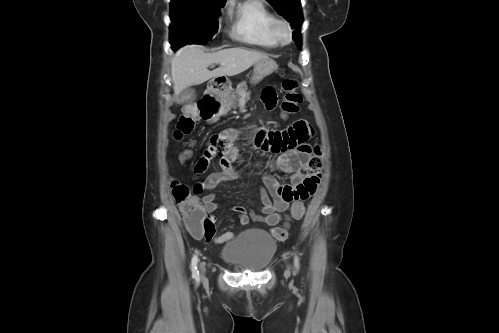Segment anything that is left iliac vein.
Instances as JSON below:
<instances>
[{
	"label": "left iliac vein",
	"mask_w": 499,
	"mask_h": 333,
	"mask_svg": "<svg viewBox=\"0 0 499 333\" xmlns=\"http://www.w3.org/2000/svg\"><path fill=\"white\" fill-rule=\"evenodd\" d=\"M287 273H288V274L290 273V268H289V267L287 268Z\"/></svg>",
	"instance_id": "left-iliac-vein-1"
}]
</instances>
